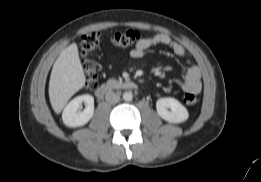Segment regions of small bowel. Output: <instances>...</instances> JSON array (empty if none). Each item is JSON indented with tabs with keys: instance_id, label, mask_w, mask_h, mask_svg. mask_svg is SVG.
I'll list each match as a JSON object with an SVG mask.
<instances>
[{
	"instance_id": "obj_1",
	"label": "small bowel",
	"mask_w": 261,
	"mask_h": 182,
	"mask_svg": "<svg viewBox=\"0 0 261 182\" xmlns=\"http://www.w3.org/2000/svg\"><path fill=\"white\" fill-rule=\"evenodd\" d=\"M156 45H164L169 47L177 57L186 62L187 66L184 70L181 88L186 93L199 94L202 89L201 73L199 68L190 63L186 56L184 47L169 35L165 33H157L149 37L141 38L137 42L136 46L131 50L130 56L135 59L141 58L147 49Z\"/></svg>"
}]
</instances>
